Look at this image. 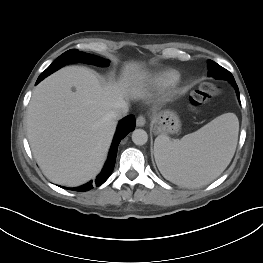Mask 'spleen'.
Masks as SVG:
<instances>
[{
	"label": "spleen",
	"instance_id": "1",
	"mask_svg": "<svg viewBox=\"0 0 263 263\" xmlns=\"http://www.w3.org/2000/svg\"><path fill=\"white\" fill-rule=\"evenodd\" d=\"M239 121L234 113L222 114L180 140L161 134L154 155L165 179L183 187H200L216 179L234 156Z\"/></svg>",
	"mask_w": 263,
	"mask_h": 263
}]
</instances>
